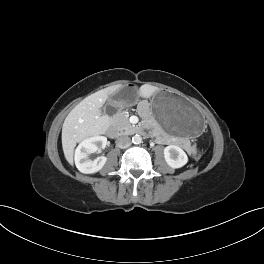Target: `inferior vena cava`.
I'll return each instance as SVG.
<instances>
[{
	"mask_svg": "<svg viewBox=\"0 0 264 264\" xmlns=\"http://www.w3.org/2000/svg\"><path fill=\"white\" fill-rule=\"evenodd\" d=\"M116 145L119 148H127L131 145V139L128 136H120L116 140Z\"/></svg>",
	"mask_w": 264,
	"mask_h": 264,
	"instance_id": "602c4592",
	"label": "inferior vena cava"
}]
</instances>
